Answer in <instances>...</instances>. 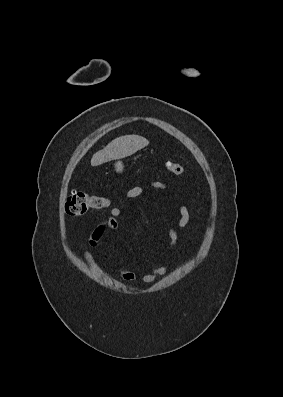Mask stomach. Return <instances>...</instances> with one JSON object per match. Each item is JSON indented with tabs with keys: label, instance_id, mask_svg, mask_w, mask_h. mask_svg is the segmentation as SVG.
I'll return each mask as SVG.
<instances>
[{
	"label": "stomach",
	"instance_id": "stomach-1",
	"mask_svg": "<svg viewBox=\"0 0 283 397\" xmlns=\"http://www.w3.org/2000/svg\"><path fill=\"white\" fill-rule=\"evenodd\" d=\"M114 168H115V171H116V172L122 173V172H123V169H124V165H123L122 161H117V162L114 164Z\"/></svg>",
	"mask_w": 283,
	"mask_h": 397
}]
</instances>
